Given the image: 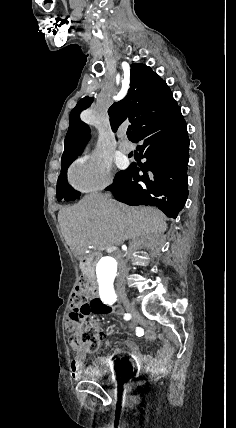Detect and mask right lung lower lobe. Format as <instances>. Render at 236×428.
Wrapping results in <instances>:
<instances>
[{
  "label": "right lung lower lobe",
  "instance_id": "right-lung-lower-lobe-1",
  "mask_svg": "<svg viewBox=\"0 0 236 428\" xmlns=\"http://www.w3.org/2000/svg\"><path fill=\"white\" fill-rule=\"evenodd\" d=\"M130 140L143 141L140 155L147 161L140 168L132 164L117 173L107 190L120 202L156 206L166 216L176 218L188 197L189 139L180 107L152 119Z\"/></svg>",
  "mask_w": 236,
  "mask_h": 428
}]
</instances>
